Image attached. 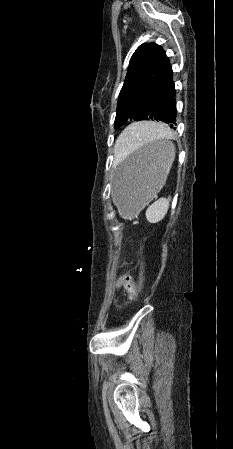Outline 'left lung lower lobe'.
Instances as JSON below:
<instances>
[{"mask_svg":"<svg viewBox=\"0 0 233 449\" xmlns=\"http://www.w3.org/2000/svg\"><path fill=\"white\" fill-rule=\"evenodd\" d=\"M176 93L174 81L171 79L164 89L158 93L147 110L146 120L163 121L176 129Z\"/></svg>","mask_w":233,"mask_h":449,"instance_id":"1","label":"left lung lower lobe"}]
</instances>
